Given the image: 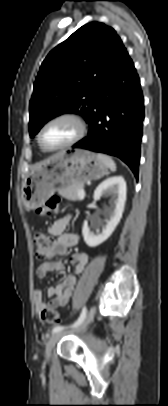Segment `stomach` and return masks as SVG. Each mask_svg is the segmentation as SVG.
<instances>
[{
    "label": "stomach",
    "mask_w": 168,
    "mask_h": 406,
    "mask_svg": "<svg viewBox=\"0 0 168 406\" xmlns=\"http://www.w3.org/2000/svg\"><path fill=\"white\" fill-rule=\"evenodd\" d=\"M108 174L107 165L88 150H65L52 156L22 183V200L28 209H36L54 194L97 180Z\"/></svg>",
    "instance_id": "1"
}]
</instances>
